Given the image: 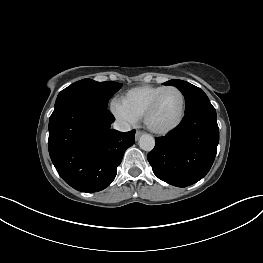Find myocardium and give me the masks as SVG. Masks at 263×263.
<instances>
[{
    "mask_svg": "<svg viewBox=\"0 0 263 263\" xmlns=\"http://www.w3.org/2000/svg\"><path fill=\"white\" fill-rule=\"evenodd\" d=\"M169 90H176L179 92V94L181 95L182 98V109H181V113L179 118L171 125L164 127V128H156L154 126L151 125L150 123V118L151 115L153 114V112L155 111L160 99L162 98V96ZM186 108H187V101H186V96L184 94V92L176 86H167L165 87L162 91H160L150 102V104L148 105L144 115H143V119H144V123L146 125V127L152 131L153 133L156 134H167L173 130H175L184 120L185 118V114H186Z\"/></svg>",
    "mask_w": 263,
    "mask_h": 263,
    "instance_id": "obj_1",
    "label": "myocardium"
}]
</instances>
